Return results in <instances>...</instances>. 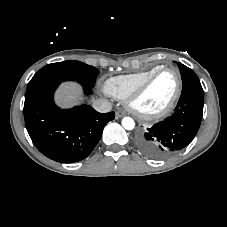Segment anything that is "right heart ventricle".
Masks as SVG:
<instances>
[{"label": "right heart ventricle", "instance_id": "right-heart-ventricle-1", "mask_svg": "<svg viewBox=\"0 0 227 227\" xmlns=\"http://www.w3.org/2000/svg\"><path fill=\"white\" fill-rule=\"evenodd\" d=\"M163 66L131 74L118 75L108 78L103 85L104 91L117 99L127 98L148 76Z\"/></svg>", "mask_w": 227, "mask_h": 227}]
</instances>
